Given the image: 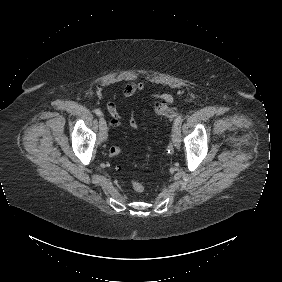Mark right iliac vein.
<instances>
[{
  "instance_id": "63e3f726",
  "label": "right iliac vein",
  "mask_w": 282,
  "mask_h": 282,
  "mask_svg": "<svg viewBox=\"0 0 282 282\" xmlns=\"http://www.w3.org/2000/svg\"><path fill=\"white\" fill-rule=\"evenodd\" d=\"M99 134L102 141L107 139V124L103 117L99 119Z\"/></svg>"
}]
</instances>
